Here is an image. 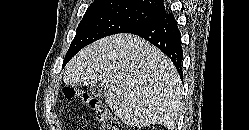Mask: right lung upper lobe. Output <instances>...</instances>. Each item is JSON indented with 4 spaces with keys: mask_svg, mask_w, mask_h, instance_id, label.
<instances>
[{
    "mask_svg": "<svg viewBox=\"0 0 249 130\" xmlns=\"http://www.w3.org/2000/svg\"><path fill=\"white\" fill-rule=\"evenodd\" d=\"M105 3L135 6L144 10L156 12L160 16L166 13L163 0H95L91 5Z\"/></svg>",
    "mask_w": 249,
    "mask_h": 130,
    "instance_id": "cb5924a9",
    "label": "right lung upper lobe"
}]
</instances>
